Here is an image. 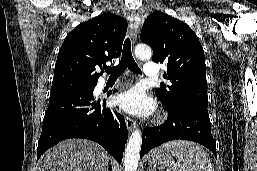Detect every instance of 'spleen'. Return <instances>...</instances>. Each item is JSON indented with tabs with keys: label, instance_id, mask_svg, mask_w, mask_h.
Here are the masks:
<instances>
[{
	"label": "spleen",
	"instance_id": "3e777b00",
	"mask_svg": "<svg viewBox=\"0 0 257 171\" xmlns=\"http://www.w3.org/2000/svg\"><path fill=\"white\" fill-rule=\"evenodd\" d=\"M174 156L168 171H215L209 154L202 146L186 140H175L163 145Z\"/></svg>",
	"mask_w": 257,
	"mask_h": 171
}]
</instances>
